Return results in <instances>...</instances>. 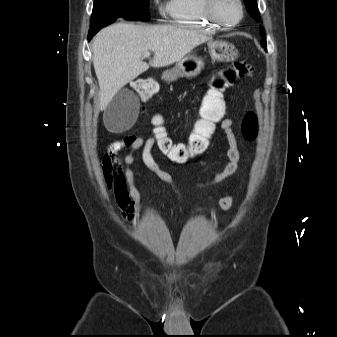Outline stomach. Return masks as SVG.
Returning a JSON list of instances; mask_svg holds the SVG:
<instances>
[{
  "label": "stomach",
  "instance_id": "stomach-1",
  "mask_svg": "<svg viewBox=\"0 0 337 337\" xmlns=\"http://www.w3.org/2000/svg\"><path fill=\"white\" fill-rule=\"evenodd\" d=\"M207 46L214 60L232 61L237 56L234 45L226 41H210ZM203 67V59L194 53H189L178 61L174 68L165 71L162 78L166 81H175L180 77L193 78L201 72Z\"/></svg>",
  "mask_w": 337,
  "mask_h": 337
}]
</instances>
